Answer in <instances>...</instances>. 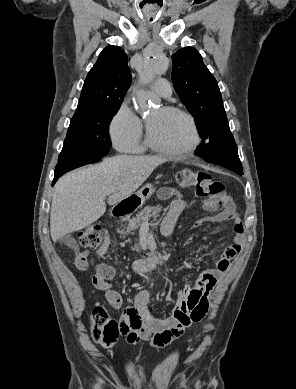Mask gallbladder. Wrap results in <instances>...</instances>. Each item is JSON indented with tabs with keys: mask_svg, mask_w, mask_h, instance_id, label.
Listing matches in <instances>:
<instances>
[{
	"mask_svg": "<svg viewBox=\"0 0 296 389\" xmlns=\"http://www.w3.org/2000/svg\"><path fill=\"white\" fill-rule=\"evenodd\" d=\"M59 242H60V244H64L70 248H73L76 252L79 251L77 242L71 235H67V236L62 237L59 240Z\"/></svg>",
	"mask_w": 296,
	"mask_h": 389,
	"instance_id": "bac80fb5",
	"label": "gallbladder"
}]
</instances>
